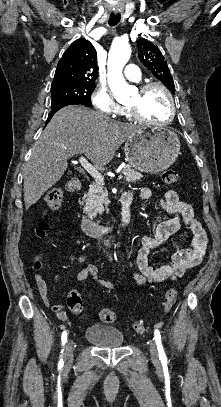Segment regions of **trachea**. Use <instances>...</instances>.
Wrapping results in <instances>:
<instances>
[{"mask_svg":"<svg viewBox=\"0 0 221 407\" xmlns=\"http://www.w3.org/2000/svg\"><path fill=\"white\" fill-rule=\"evenodd\" d=\"M120 19H121V15H120V14H114V13H112V14L110 15V18H109L108 23H109L110 26H115V25H117V24L120 22Z\"/></svg>","mask_w":221,"mask_h":407,"instance_id":"1","label":"trachea"}]
</instances>
